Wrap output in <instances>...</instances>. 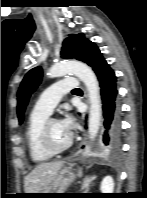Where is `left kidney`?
Returning <instances> with one entry per match:
<instances>
[{
    "mask_svg": "<svg viewBox=\"0 0 147 198\" xmlns=\"http://www.w3.org/2000/svg\"><path fill=\"white\" fill-rule=\"evenodd\" d=\"M114 181L111 176H106L101 182V193H113Z\"/></svg>",
    "mask_w": 147,
    "mask_h": 198,
    "instance_id": "obj_1",
    "label": "left kidney"
}]
</instances>
